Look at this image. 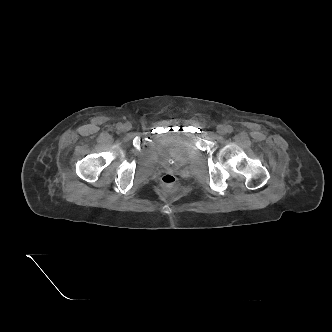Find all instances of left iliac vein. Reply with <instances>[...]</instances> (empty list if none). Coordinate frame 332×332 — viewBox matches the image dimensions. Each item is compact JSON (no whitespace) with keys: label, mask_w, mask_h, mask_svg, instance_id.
Returning a JSON list of instances; mask_svg holds the SVG:
<instances>
[{"label":"left iliac vein","mask_w":332,"mask_h":332,"mask_svg":"<svg viewBox=\"0 0 332 332\" xmlns=\"http://www.w3.org/2000/svg\"><path fill=\"white\" fill-rule=\"evenodd\" d=\"M217 132H218L219 134H221V135H225L226 132H227V129H226V127L223 126V125H218V126H217Z\"/></svg>","instance_id":"4c4485c4"}]
</instances>
